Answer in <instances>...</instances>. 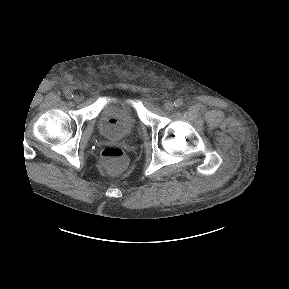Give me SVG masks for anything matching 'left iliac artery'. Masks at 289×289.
Returning <instances> with one entry per match:
<instances>
[{
  "mask_svg": "<svg viewBox=\"0 0 289 289\" xmlns=\"http://www.w3.org/2000/svg\"><path fill=\"white\" fill-rule=\"evenodd\" d=\"M175 106L176 107H181L182 104H183V101L181 99H177L175 102H174Z\"/></svg>",
  "mask_w": 289,
  "mask_h": 289,
  "instance_id": "1",
  "label": "left iliac artery"
}]
</instances>
